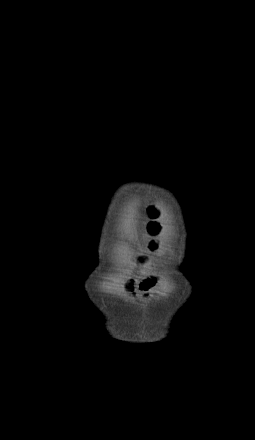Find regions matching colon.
Returning <instances> with one entry per match:
<instances>
[{
	"label": "colon",
	"instance_id": "colon-1",
	"mask_svg": "<svg viewBox=\"0 0 255 440\" xmlns=\"http://www.w3.org/2000/svg\"><path fill=\"white\" fill-rule=\"evenodd\" d=\"M157 216H158L157 211L154 208H150L149 209V218L151 221L148 224V232L152 236L158 234V232H159V226L157 223L154 222V220L157 218Z\"/></svg>",
	"mask_w": 255,
	"mask_h": 440
}]
</instances>
